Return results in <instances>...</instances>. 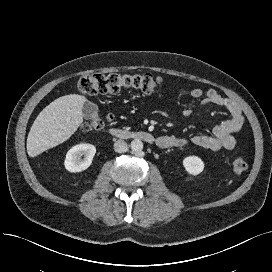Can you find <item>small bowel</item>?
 I'll return each instance as SVG.
<instances>
[{"label":"small bowel","mask_w":272,"mask_h":272,"mask_svg":"<svg viewBox=\"0 0 272 272\" xmlns=\"http://www.w3.org/2000/svg\"><path fill=\"white\" fill-rule=\"evenodd\" d=\"M190 95L193 99L198 100L201 105H215L225 109L230 118L216 125L211 134H198L190 139L175 135L159 136L157 138L158 146L165 149L181 148L191 143L194 146L211 150H231L236 148L238 138L235 134L245 124V116L240 106L233 100L219 94L215 89L204 92L202 89L195 87L190 90ZM182 114L189 117L193 114V109L186 107L183 109Z\"/></svg>","instance_id":"obj_1"}]
</instances>
